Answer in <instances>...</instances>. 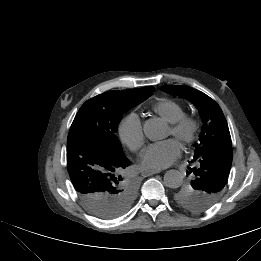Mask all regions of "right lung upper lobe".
Returning <instances> with one entry per match:
<instances>
[{
	"mask_svg": "<svg viewBox=\"0 0 261 261\" xmlns=\"http://www.w3.org/2000/svg\"><path fill=\"white\" fill-rule=\"evenodd\" d=\"M153 89H154V87L149 86V87H143V88H138V89L123 90V91H119V93L122 94V95L150 93V92L153 91Z\"/></svg>",
	"mask_w": 261,
	"mask_h": 261,
	"instance_id": "obj_1",
	"label": "right lung upper lobe"
}]
</instances>
